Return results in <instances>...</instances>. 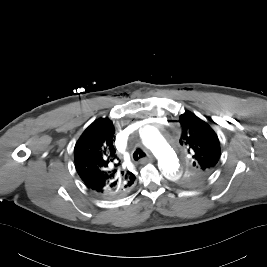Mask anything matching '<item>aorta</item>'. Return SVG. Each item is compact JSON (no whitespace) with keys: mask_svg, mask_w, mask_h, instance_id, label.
<instances>
[{"mask_svg":"<svg viewBox=\"0 0 267 267\" xmlns=\"http://www.w3.org/2000/svg\"><path fill=\"white\" fill-rule=\"evenodd\" d=\"M142 142L157 157L164 176L171 181H178L181 177L179 159L159 131L155 127L147 126L143 131Z\"/></svg>","mask_w":267,"mask_h":267,"instance_id":"obj_1","label":"aorta"}]
</instances>
